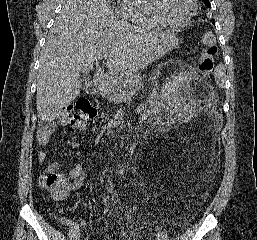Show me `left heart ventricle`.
<instances>
[{
    "mask_svg": "<svg viewBox=\"0 0 257 240\" xmlns=\"http://www.w3.org/2000/svg\"><path fill=\"white\" fill-rule=\"evenodd\" d=\"M160 9L170 21L179 22L190 12V0H160Z\"/></svg>",
    "mask_w": 257,
    "mask_h": 240,
    "instance_id": "b2bd125f",
    "label": "left heart ventricle"
}]
</instances>
